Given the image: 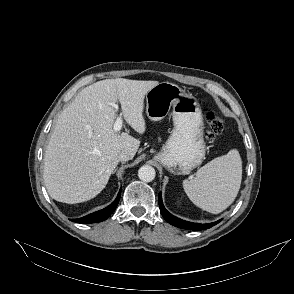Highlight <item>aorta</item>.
Segmentation results:
<instances>
[{
	"label": "aorta",
	"instance_id": "1",
	"mask_svg": "<svg viewBox=\"0 0 294 294\" xmlns=\"http://www.w3.org/2000/svg\"><path fill=\"white\" fill-rule=\"evenodd\" d=\"M155 169L149 165H143L138 170V177L144 182H151L155 178Z\"/></svg>",
	"mask_w": 294,
	"mask_h": 294
}]
</instances>
